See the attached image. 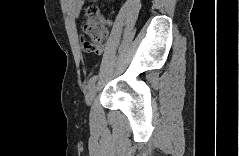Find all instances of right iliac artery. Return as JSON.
Instances as JSON below:
<instances>
[{"label": "right iliac artery", "instance_id": "right-iliac-artery-1", "mask_svg": "<svg viewBox=\"0 0 239 156\" xmlns=\"http://www.w3.org/2000/svg\"><path fill=\"white\" fill-rule=\"evenodd\" d=\"M96 80H97V75L90 78V80L88 82V89H90L95 84Z\"/></svg>", "mask_w": 239, "mask_h": 156}]
</instances>
